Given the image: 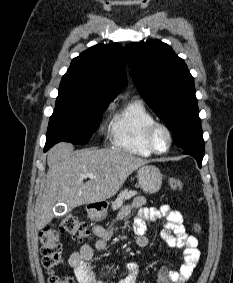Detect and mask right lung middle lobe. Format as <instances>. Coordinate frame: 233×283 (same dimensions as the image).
Segmentation results:
<instances>
[{
    "instance_id": "dd1d6c3e",
    "label": "right lung middle lobe",
    "mask_w": 233,
    "mask_h": 283,
    "mask_svg": "<svg viewBox=\"0 0 233 283\" xmlns=\"http://www.w3.org/2000/svg\"><path fill=\"white\" fill-rule=\"evenodd\" d=\"M107 106L59 91L55 110L49 120L45 148L49 149L60 141L86 144L98 129Z\"/></svg>"
}]
</instances>
